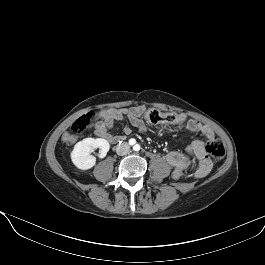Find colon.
Wrapping results in <instances>:
<instances>
[{"label":"colon","mask_w":265,"mask_h":265,"mask_svg":"<svg viewBox=\"0 0 265 265\" xmlns=\"http://www.w3.org/2000/svg\"><path fill=\"white\" fill-rule=\"evenodd\" d=\"M111 113L109 110L95 111L79 117L69 130L66 138L68 142H74L78 136L91 128L96 119L100 116H107ZM144 117L151 124H182L186 118L178 113H164L156 109H147L142 112ZM205 149L207 154L215 161H221L225 156V146L219 137H212L207 140Z\"/></svg>","instance_id":"5ec220e1"}]
</instances>
